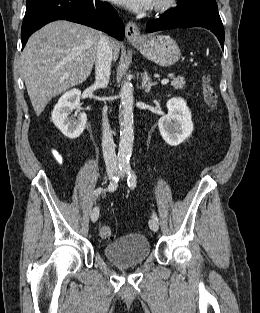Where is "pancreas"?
<instances>
[{"label":"pancreas","mask_w":260,"mask_h":313,"mask_svg":"<svg viewBox=\"0 0 260 313\" xmlns=\"http://www.w3.org/2000/svg\"><path fill=\"white\" fill-rule=\"evenodd\" d=\"M173 80L171 81V86L175 89H182L185 86V79L183 77H174L169 75Z\"/></svg>","instance_id":"cf45deb5"}]
</instances>
